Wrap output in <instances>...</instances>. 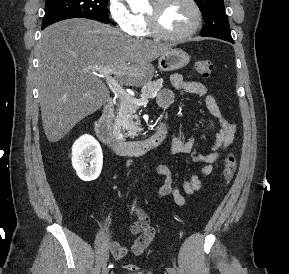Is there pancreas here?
Listing matches in <instances>:
<instances>
[{
    "instance_id": "pancreas-1",
    "label": "pancreas",
    "mask_w": 289,
    "mask_h": 274,
    "mask_svg": "<svg viewBox=\"0 0 289 274\" xmlns=\"http://www.w3.org/2000/svg\"><path fill=\"white\" fill-rule=\"evenodd\" d=\"M162 87L163 80L161 79L147 83L141 90L140 99L155 98ZM138 108L139 106L133 101L121 99L115 117L118 134L123 129L128 131V136L134 137L137 135V132L140 130V121L136 113Z\"/></svg>"
}]
</instances>
